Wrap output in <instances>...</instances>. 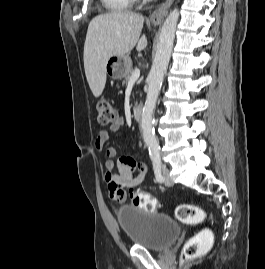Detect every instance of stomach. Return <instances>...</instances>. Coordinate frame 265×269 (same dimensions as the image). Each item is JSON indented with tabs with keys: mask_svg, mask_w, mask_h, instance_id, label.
Instances as JSON below:
<instances>
[{
	"mask_svg": "<svg viewBox=\"0 0 265 269\" xmlns=\"http://www.w3.org/2000/svg\"><path fill=\"white\" fill-rule=\"evenodd\" d=\"M131 59L128 55H115L106 64V74L113 79H122L131 71Z\"/></svg>",
	"mask_w": 265,
	"mask_h": 269,
	"instance_id": "stomach-1",
	"label": "stomach"
}]
</instances>
